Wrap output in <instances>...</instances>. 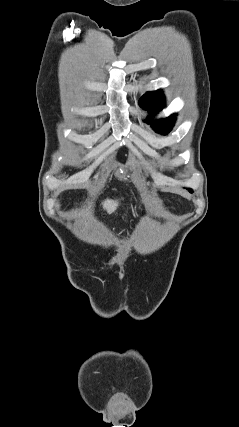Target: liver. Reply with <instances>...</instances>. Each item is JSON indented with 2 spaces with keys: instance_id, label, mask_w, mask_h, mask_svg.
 I'll return each mask as SVG.
<instances>
[{
  "instance_id": "6515ba94",
  "label": "liver",
  "mask_w": 239,
  "mask_h": 427,
  "mask_svg": "<svg viewBox=\"0 0 239 427\" xmlns=\"http://www.w3.org/2000/svg\"><path fill=\"white\" fill-rule=\"evenodd\" d=\"M103 208L108 212V214H112L118 207V201L107 199L103 203Z\"/></svg>"
}]
</instances>
